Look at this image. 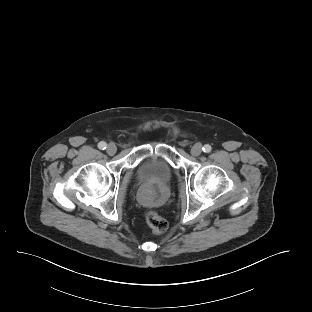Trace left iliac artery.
I'll return each instance as SVG.
<instances>
[{
  "instance_id": "1",
  "label": "left iliac artery",
  "mask_w": 312,
  "mask_h": 312,
  "mask_svg": "<svg viewBox=\"0 0 312 312\" xmlns=\"http://www.w3.org/2000/svg\"><path fill=\"white\" fill-rule=\"evenodd\" d=\"M202 150L205 153H209L212 150V147L209 144L204 145V147L202 148Z\"/></svg>"
}]
</instances>
